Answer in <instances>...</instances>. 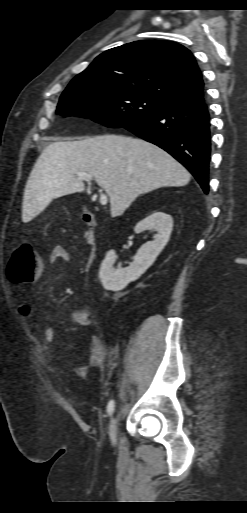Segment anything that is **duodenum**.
I'll return each instance as SVG.
<instances>
[{
    "label": "duodenum",
    "instance_id": "duodenum-1",
    "mask_svg": "<svg viewBox=\"0 0 247 513\" xmlns=\"http://www.w3.org/2000/svg\"><path fill=\"white\" fill-rule=\"evenodd\" d=\"M82 221L88 228V235H87V241L90 245V253L89 258L92 262L95 261L97 257V249H96V238H95V229H96V219L93 213L90 211H83L82 212Z\"/></svg>",
    "mask_w": 247,
    "mask_h": 513
}]
</instances>
